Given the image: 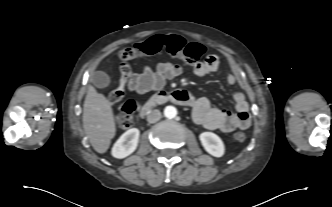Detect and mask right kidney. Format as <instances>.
Segmentation results:
<instances>
[{
	"label": "right kidney",
	"mask_w": 332,
	"mask_h": 207,
	"mask_svg": "<svg viewBox=\"0 0 332 207\" xmlns=\"http://www.w3.org/2000/svg\"><path fill=\"white\" fill-rule=\"evenodd\" d=\"M140 131L132 128L123 133L115 142L111 154L113 157L122 159L132 154L139 142Z\"/></svg>",
	"instance_id": "1"
}]
</instances>
